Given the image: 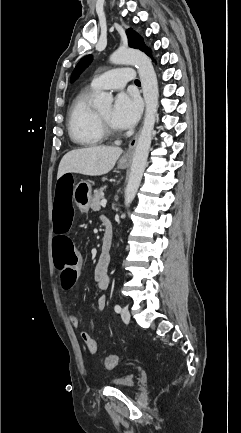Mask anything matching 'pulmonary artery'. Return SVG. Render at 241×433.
Listing matches in <instances>:
<instances>
[{
	"mask_svg": "<svg viewBox=\"0 0 241 433\" xmlns=\"http://www.w3.org/2000/svg\"><path fill=\"white\" fill-rule=\"evenodd\" d=\"M134 81V70L130 67L123 66L93 78L88 88L92 91H98L102 89L119 90L124 88L127 83H132Z\"/></svg>",
	"mask_w": 241,
	"mask_h": 433,
	"instance_id": "1",
	"label": "pulmonary artery"
}]
</instances>
